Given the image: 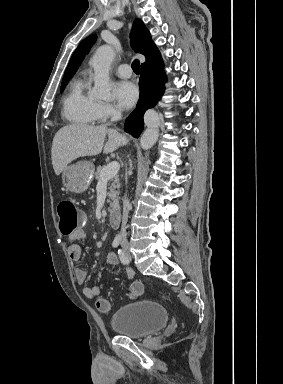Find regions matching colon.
Returning <instances> with one entry per match:
<instances>
[{"mask_svg":"<svg viewBox=\"0 0 283 384\" xmlns=\"http://www.w3.org/2000/svg\"><path fill=\"white\" fill-rule=\"evenodd\" d=\"M60 230L63 234L69 235L82 227L85 221L84 214L78 209L75 203L70 199L62 200L57 207ZM142 288L138 284H132L129 289V297L137 298L142 294ZM162 298L166 299L164 295ZM97 309L102 313L110 311V303L104 298L97 300Z\"/></svg>","mask_w":283,"mask_h":384,"instance_id":"colon-1","label":"colon"}]
</instances>
